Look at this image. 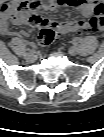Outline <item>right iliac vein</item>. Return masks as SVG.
I'll list each match as a JSON object with an SVG mask.
<instances>
[{
	"label": "right iliac vein",
	"mask_w": 104,
	"mask_h": 137,
	"mask_svg": "<svg viewBox=\"0 0 104 137\" xmlns=\"http://www.w3.org/2000/svg\"><path fill=\"white\" fill-rule=\"evenodd\" d=\"M25 59L29 62H33L35 60V56L32 52L25 54Z\"/></svg>",
	"instance_id": "obj_1"
}]
</instances>
